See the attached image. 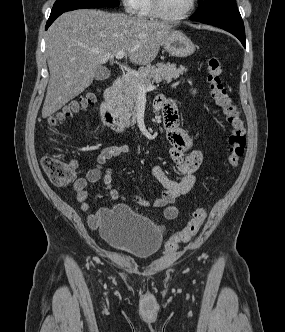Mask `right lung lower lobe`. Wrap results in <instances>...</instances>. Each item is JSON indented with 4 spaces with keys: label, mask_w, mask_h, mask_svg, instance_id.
<instances>
[{
    "label": "right lung lower lobe",
    "mask_w": 285,
    "mask_h": 332,
    "mask_svg": "<svg viewBox=\"0 0 285 332\" xmlns=\"http://www.w3.org/2000/svg\"><path fill=\"white\" fill-rule=\"evenodd\" d=\"M62 13L63 12L51 13L45 28L48 29V27L53 23V21Z\"/></svg>",
    "instance_id": "1"
}]
</instances>
